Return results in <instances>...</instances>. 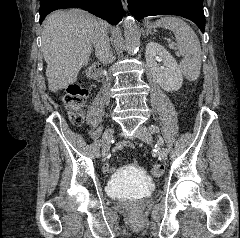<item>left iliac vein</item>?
Masks as SVG:
<instances>
[{
	"instance_id": "obj_1",
	"label": "left iliac vein",
	"mask_w": 240,
	"mask_h": 238,
	"mask_svg": "<svg viewBox=\"0 0 240 238\" xmlns=\"http://www.w3.org/2000/svg\"><path fill=\"white\" fill-rule=\"evenodd\" d=\"M136 136L143 142L150 144L152 142V134H151V130L144 126L141 125L138 127L137 131H136ZM167 154H168V150L166 153H163L162 150H159V156L162 160H167Z\"/></svg>"
}]
</instances>
